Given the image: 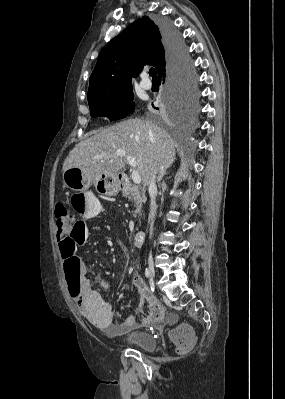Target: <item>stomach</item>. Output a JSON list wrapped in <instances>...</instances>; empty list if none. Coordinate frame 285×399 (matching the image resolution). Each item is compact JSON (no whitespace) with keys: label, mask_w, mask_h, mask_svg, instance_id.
Returning <instances> with one entry per match:
<instances>
[{"label":"stomach","mask_w":285,"mask_h":399,"mask_svg":"<svg viewBox=\"0 0 285 399\" xmlns=\"http://www.w3.org/2000/svg\"><path fill=\"white\" fill-rule=\"evenodd\" d=\"M64 186L74 191H87L92 184L98 193L107 196H116L121 190V181L118 175H100L91 177L80 168L72 167L63 172Z\"/></svg>","instance_id":"stomach-1"}]
</instances>
